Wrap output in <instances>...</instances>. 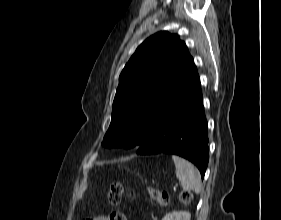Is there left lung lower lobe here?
Here are the masks:
<instances>
[{"mask_svg": "<svg viewBox=\"0 0 281 220\" xmlns=\"http://www.w3.org/2000/svg\"><path fill=\"white\" fill-rule=\"evenodd\" d=\"M208 125L198 72L164 115L153 138L137 154L168 153L191 161L204 177L208 160Z\"/></svg>", "mask_w": 281, "mask_h": 220, "instance_id": "left-lung-lower-lobe-1", "label": "left lung lower lobe"}]
</instances>
